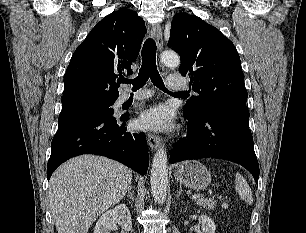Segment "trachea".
<instances>
[{
	"instance_id": "1",
	"label": "trachea",
	"mask_w": 306,
	"mask_h": 233,
	"mask_svg": "<svg viewBox=\"0 0 306 233\" xmlns=\"http://www.w3.org/2000/svg\"><path fill=\"white\" fill-rule=\"evenodd\" d=\"M142 65L139 70L138 76L134 80L121 78L120 83H132L133 90L143 87L147 80L150 78L152 83L159 89L170 93L164 86V83L159 75L156 66V43L153 39L149 38L145 41L142 48ZM175 94H185V92H178Z\"/></svg>"
}]
</instances>
